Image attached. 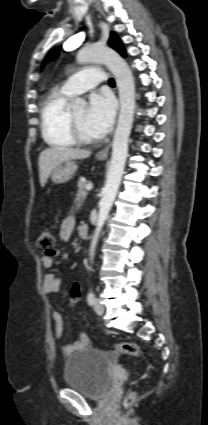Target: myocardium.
<instances>
[{
  "label": "myocardium",
  "instance_id": "1",
  "mask_svg": "<svg viewBox=\"0 0 208 425\" xmlns=\"http://www.w3.org/2000/svg\"><path fill=\"white\" fill-rule=\"evenodd\" d=\"M69 124H70L71 134L77 143L82 145H91L97 142L96 138L94 139L88 138L83 134L72 112H69Z\"/></svg>",
  "mask_w": 208,
  "mask_h": 425
}]
</instances>
